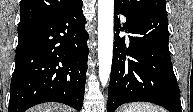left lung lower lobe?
Returning <instances> with one entry per match:
<instances>
[{
  "instance_id": "obj_1",
  "label": "left lung lower lobe",
  "mask_w": 193,
  "mask_h": 112,
  "mask_svg": "<svg viewBox=\"0 0 193 112\" xmlns=\"http://www.w3.org/2000/svg\"><path fill=\"white\" fill-rule=\"evenodd\" d=\"M115 41L108 89V112L128 102L145 101L169 112H181L179 87L168 48L167 13L127 16L114 7ZM126 17L129 36L120 37L119 14Z\"/></svg>"
}]
</instances>
